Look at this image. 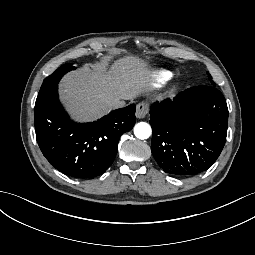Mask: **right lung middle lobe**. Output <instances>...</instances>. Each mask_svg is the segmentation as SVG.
Instances as JSON below:
<instances>
[{
	"label": "right lung middle lobe",
	"instance_id": "right-lung-middle-lobe-1",
	"mask_svg": "<svg viewBox=\"0 0 255 255\" xmlns=\"http://www.w3.org/2000/svg\"><path fill=\"white\" fill-rule=\"evenodd\" d=\"M73 69H75V67H73L72 64L69 63L59 67L54 73H52L50 76L44 79L42 86L40 88V92L57 86L62 76Z\"/></svg>",
	"mask_w": 255,
	"mask_h": 255
}]
</instances>
